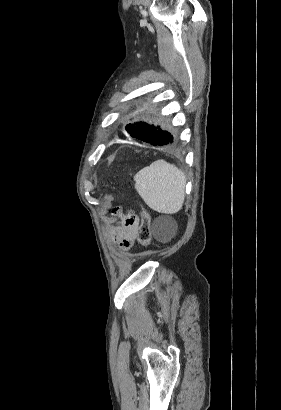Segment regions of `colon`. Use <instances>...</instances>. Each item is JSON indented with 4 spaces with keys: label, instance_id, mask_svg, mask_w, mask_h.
Instances as JSON below:
<instances>
[{
    "label": "colon",
    "instance_id": "5ec220e1",
    "mask_svg": "<svg viewBox=\"0 0 281 410\" xmlns=\"http://www.w3.org/2000/svg\"><path fill=\"white\" fill-rule=\"evenodd\" d=\"M119 214L120 209L117 208L114 211ZM130 219L133 221L135 218L138 219L139 230H138V241L140 245L144 248L149 247L151 244V227H150V215L145 209H141L140 216L136 217L134 215H129Z\"/></svg>",
    "mask_w": 281,
    "mask_h": 410
}]
</instances>
